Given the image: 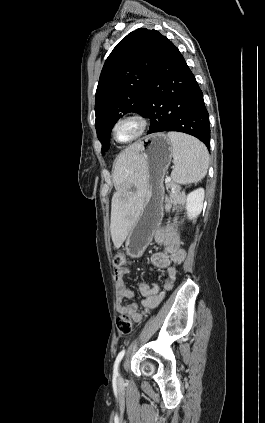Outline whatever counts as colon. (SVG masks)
I'll list each match as a JSON object with an SVG mask.
<instances>
[{
    "label": "colon",
    "instance_id": "colon-1",
    "mask_svg": "<svg viewBox=\"0 0 265 423\" xmlns=\"http://www.w3.org/2000/svg\"><path fill=\"white\" fill-rule=\"evenodd\" d=\"M125 256L122 253H118L114 258V264L116 267H121L125 263ZM117 330L121 335H130L133 331V323L127 314H120L116 319Z\"/></svg>",
    "mask_w": 265,
    "mask_h": 423
}]
</instances>
